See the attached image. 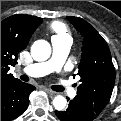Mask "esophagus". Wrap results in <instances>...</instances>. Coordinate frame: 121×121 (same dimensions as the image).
Listing matches in <instances>:
<instances>
[{
  "label": "esophagus",
  "mask_w": 121,
  "mask_h": 121,
  "mask_svg": "<svg viewBox=\"0 0 121 121\" xmlns=\"http://www.w3.org/2000/svg\"><path fill=\"white\" fill-rule=\"evenodd\" d=\"M45 91H46L48 94H50V95H56V94H57L55 91H52V90H50V89H48V88H45Z\"/></svg>",
  "instance_id": "esophagus-1"
}]
</instances>
